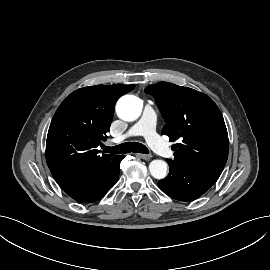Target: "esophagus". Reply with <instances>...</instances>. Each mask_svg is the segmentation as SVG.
I'll use <instances>...</instances> for the list:
<instances>
[{
  "label": "esophagus",
  "mask_w": 270,
  "mask_h": 270,
  "mask_svg": "<svg viewBox=\"0 0 270 270\" xmlns=\"http://www.w3.org/2000/svg\"><path fill=\"white\" fill-rule=\"evenodd\" d=\"M138 157H140L141 159H144V160H150L152 158V155L151 154H136Z\"/></svg>",
  "instance_id": "34e87169"
}]
</instances>
